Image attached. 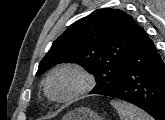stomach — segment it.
Returning <instances> with one entry per match:
<instances>
[{
	"instance_id": "obj_1",
	"label": "stomach",
	"mask_w": 165,
	"mask_h": 120,
	"mask_svg": "<svg viewBox=\"0 0 165 120\" xmlns=\"http://www.w3.org/2000/svg\"><path fill=\"white\" fill-rule=\"evenodd\" d=\"M62 120H104L94 110L88 107H79L67 113Z\"/></svg>"
}]
</instances>
